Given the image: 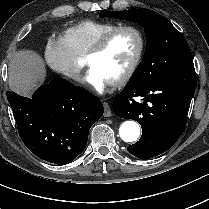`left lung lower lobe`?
Returning <instances> with one entry per match:
<instances>
[{
	"instance_id": "left-lung-lower-lobe-1",
	"label": "left lung lower lobe",
	"mask_w": 209,
	"mask_h": 209,
	"mask_svg": "<svg viewBox=\"0 0 209 209\" xmlns=\"http://www.w3.org/2000/svg\"><path fill=\"white\" fill-rule=\"evenodd\" d=\"M195 69L189 68L147 83L128 82L113 102V112L142 127L140 140L127 150L150 159L169 148L184 131L195 92Z\"/></svg>"
}]
</instances>
